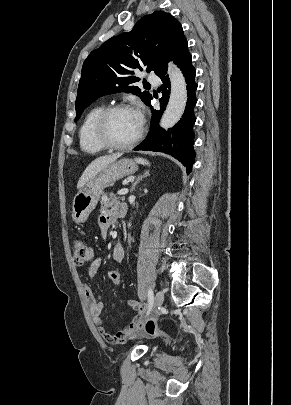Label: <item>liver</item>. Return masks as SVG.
Returning a JSON list of instances; mask_svg holds the SVG:
<instances>
[{"label":"liver","mask_w":291,"mask_h":405,"mask_svg":"<svg viewBox=\"0 0 291 405\" xmlns=\"http://www.w3.org/2000/svg\"><path fill=\"white\" fill-rule=\"evenodd\" d=\"M120 156L121 154H112L109 156L99 157L92 161L80 177L77 188L80 190L86 184V182L96 176L107 165L117 160Z\"/></svg>","instance_id":"1"}]
</instances>
